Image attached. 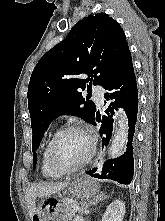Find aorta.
<instances>
[{"mask_svg":"<svg viewBox=\"0 0 165 221\" xmlns=\"http://www.w3.org/2000/svg\"><path fill=\"white\" fill-rule=\"evenodd\" d=\"M128 119L125 112L120 109L117 115L115 134L109 148V157L116 158L124 150L128 141Z\"/></svg>","mask_w":165,"mask_h":221,"instance_id":"aorta-1","label":"aorta"}]
</instances>
